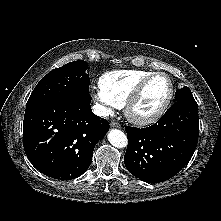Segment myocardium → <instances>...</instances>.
Masks as SVG:
<instances>
[{"instance_id": "f54148a6", "label": "myocardium", "mask_w": 221, "mask_h": 221, "mask_svg": "<svg viewBox=\"0 0 221 221\" xmlns=\"http://www.w3.org/2000/svg\"><path fill=\"white\" fill-rule=\"evenodd\" d=\"M157 76H164L168 80L169 82L168 96L166 97L165 101L160 106V108L154 113L147 115V116H137L133 112L134 106L140 100L148 83ZM174 94H175V86L171 77L167 73H164V72H152L148 76L144 77L141 81H139V83L136 85V87L133 89L131 94L126 99L124 103L125 116L131 123L138 125V126H146V125L153 124L165 114V112L170 106V103L174 97Z\"/></svg>"}]
</instances>
